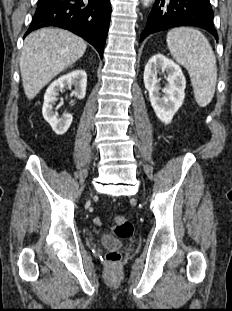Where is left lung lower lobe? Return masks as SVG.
Returning a JSON list of instances; mask_svg holds the SVG:
<instances>
[{"label": "left lung lower lobe", "instance_id": "obj_1", "mask_svg": "<svg viewBox=\"0 0 232 311\" xmlns=\"http://www.w3.org/2000/svg\"><path fill=\"white\" fill-rule=\"evenodd\" d=\"M213 18L209 0H156L140 41L152 33L178 26L203 28L217 40Z\"/></svg>", "mask_w": 232, "mask_h": 311}]
</instances>
